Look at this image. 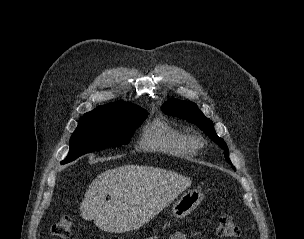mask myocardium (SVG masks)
<instances>
[{
	"mask_svg": "<svg viewBox=\"0 0 304 239\" xmlns=\"http://www.w3.org/2000/svg\"><path fill=\"white\" fill-rule=\"evenodd\" d=\"M193 142L196 146L201 145V141L198 138H193Z\"/></svg>",
	"mask_w": 304,
	"mask_h": 239,
	"instance_id": "myocardium-1",
	"label": "myocardium"
}]
</instances>
